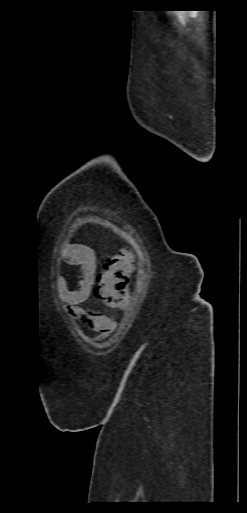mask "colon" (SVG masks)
<instances>
[{
	"mask_svg": "<svg viewBox=\"0 0 247 513\" xmlns=\"http://www.w3.org/2000/svg\"><path fill=\"white\" fill-rule=\"evenodd\" d=\"M134 259L128 252L109 257L95 275L94 295L111 308H120L127 293Z\"/></svg>",
	"mask_w": 247,
	"mask_h": 513,
	"instance_id": "5ec220e1",
	"label": "colon"
}]
</instances>
